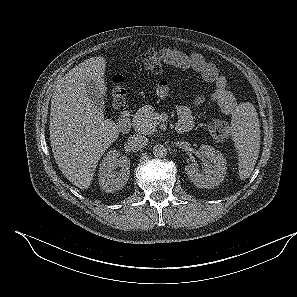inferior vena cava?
<instances>
[{
	"instance_id": "inferior-vena-cava-1",
	"label": "inferior vena cava",
	"mask_w": 297,
	"mask_h": 297,
	"mask_svg": "<svg viewBox=\"0 0 297 297\" xmlns=\"http://www.w3.org/2000/svg\"><path fill=\"white\" fill-rule=\"evenodd\" d=\"M128 141L132 147L138 149L144 148L148 143V139L140 134L130 136Z\"/></svg>"
}]
</instances>
